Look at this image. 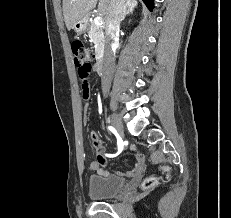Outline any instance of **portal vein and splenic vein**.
Masks as SVG:
<instances>
[{"instance_id":"obj_1","label":"portal vein and splenic vein","mask_w":231,"mask_h":218,"mask_svg":"<svg viewBox=\"0 0 231 218\" xmlns=\"http://www.w3.org/2000/svg\"><path fill=\"white\" fill-rule=\"evenodd\" d=\"M94 23L98 26L101 25L103 23L102 17L100 16L95 17Z\"/></svg>"}]
</instances>
